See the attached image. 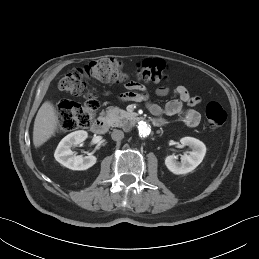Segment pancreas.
Instances as JSON below:
<instances>
[{"mask_svg": "<svg viewBox=\"0 0 259 259\" xmlns=\"http://www.w3.org/2000/svg\"><path fill=\"white\" fill-rule=\"evenodd\" d=\"M107 123L112 127H127L128 121L131 119L132 115L118 107H109L106 110Z\"/></svg>", "mask_w": 259, "mask_h": 259, "instance_id": "1", "label": "pancreas"}]
</instances>
